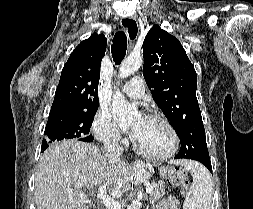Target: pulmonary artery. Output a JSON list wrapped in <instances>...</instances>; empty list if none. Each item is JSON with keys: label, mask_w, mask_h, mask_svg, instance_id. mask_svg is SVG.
I'll list each match as a JSON object with an SVG mask.
<instances>
[{"label": "pulmonary artery", "mask_w": 253, "mask_h": 209, "mask_svg": "<svg viewBox=\"0 0 253 209\" xmlns=\"http://www.w3.org/2000/svg\"><path fill=\"white\" fill-rule=\"evenodd\" d=\"M122 92L131 98H141L145 92L143 79L139 76L133 77L122 87Z\"/></svg>", "instance_id": "1"}]
</instances>
